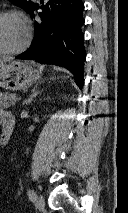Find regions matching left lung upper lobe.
<instances>
[{
    "mask_svg": "<svg viewBox=\"0 0 128 213\" xmlns=\"http://www.w3.org/2000/svg\"><path fill=\"white\" fill-rule=\"evenodd\" d=\"M14 4H16L17 6L22 7L24 10H26L27 12H29L32 7L34 6V4L32 2H28L25 0H11Z\"/></svg>",
    "mask_w": 128,
    "mask_h": 213,
    "instance_id": "5c2ea615",
    "label": "left lung upper lobe"
}]
</instances>
